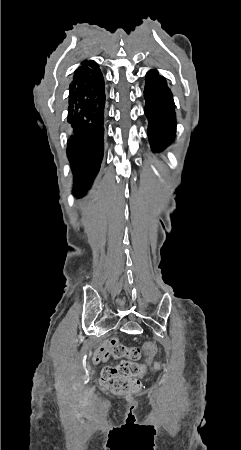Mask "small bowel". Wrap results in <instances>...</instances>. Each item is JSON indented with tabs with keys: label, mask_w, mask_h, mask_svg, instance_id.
<instances>
[{
	"label": "small bowel",
	"mask_w": 241,
	"mask_h": 450,
	"mask_svg": "<svg viewBox=\"0 0 241 450\" xmlns=\"http://www.w3.org/2000/svg\"><path fill=\"white\" fill-rule=\"evenodd\" d=\"M115 340L117 342L116 338H111L108 342L103 343L96 351L93 357L94 362H105L109 358V347L112 341Z\"/></svg>",
	"instance_id": "obj_1"
}]
</instances>
